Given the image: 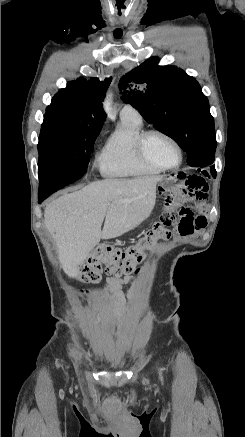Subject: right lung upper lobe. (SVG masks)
Returning a JSON list of instances; mask_svg holds the SVG:
<instances>
[{
    "instance_id": "cb5924a9",
    "label": "right lung upper lobe",
    "mask_w": 245,
    "mask_h": 437,
    "mask_svg": "<svg viewBox=\"0 0 245 437\" xmlns=\"http://www.w3.org/2000/svg\"><path fill=\"white\" fill-rule=\"evenodd\" d=\"M110 81L111 78L104 81L79 78L68 82L67 87L52 98L46 111L60 112L84 122L103 125L106 114L102 101Z\"/></svg>"
}]
</instances>
